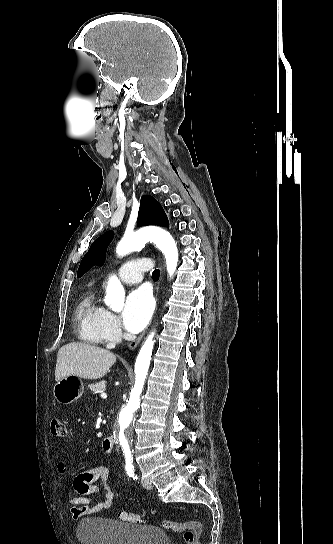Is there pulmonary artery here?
Wrapping results in <instances>:
<instances>
[{"label": "pulmonary artery", "instance_id": "obj_1", "mask_svg": "<svg viewBox=\"0 0 333 544\" xmlns=\"http://www.w3.org/2000/svg\"><path fill=\"white\" fill-rule=\"evenodd\" d=\"M150 268L149 260L136 258L125 262L118 270V276L127 284H136L142 281L143 274Z\"/></svg>", "mask_w": 333, "mask_h": 544}]
</instances>
